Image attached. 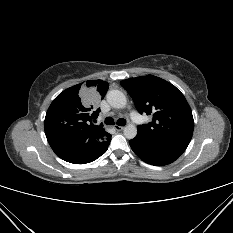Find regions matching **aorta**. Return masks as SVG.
<instances>
[{
    "instance_id": "762f6f07",
    "label": "aorta",
    "mask_w": 233,
    "mask_h": 233,
    "mask_svg": "<svg viewBox=\"0 0 233 233\" xmlns=\"http://www.w3.org/2000/svg\"><path fill=\"white\" fill-rule=\"evenodd\" d=\"M107 102L116 109H122L127 104L126 96L119 90H110L106 95ZM137 135V128L134 124H128L124 128V136L127 139H133Z\"/></svg>"
}]
</instances>
